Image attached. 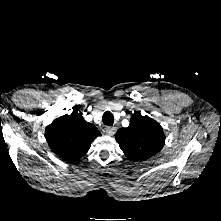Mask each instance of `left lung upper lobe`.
<instances>
[{"label":"left lung upper lobe","instance_id":"5c2ea615","mask_svg":"<svg viewBox=\"0 0 221 221\" xmlns=\"http://www.w3.org/2000/svg\"><path fill=\"white\" fill-rule=\"evenodd\" d=\"M116 141L124 154L134 161L146 160L158 153L165 143L163 129L158 122L135 112L127 128H120Z\"/></svg>","mask_w":221,"mask_h":221}]
</instances>
